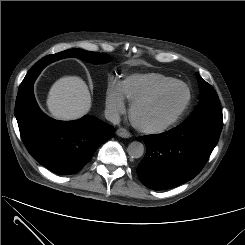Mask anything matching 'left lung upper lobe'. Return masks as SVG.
<instances>
[{
    "mask_svg": "<svg viewBox=\"0 0 245 245\" xmlns=\"http://www.w3.org/2000/svg\"><path fill=\"white\" fill-rule=\"evenodd\" d=\"M200 88L199 104L182 124L208 123L218 127L223 125V116L215 89L196 73Z\"/></svg>",
    "mask_w": 245,
    "mask_h": 245,
    "instance_id": "1",
    "label": "left lung upper lobe"
}]
</instances>
